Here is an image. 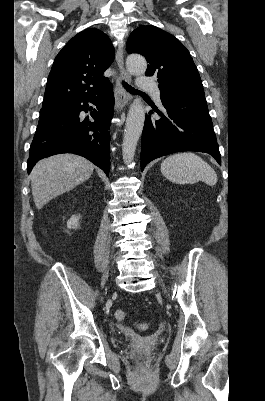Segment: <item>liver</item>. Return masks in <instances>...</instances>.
Masks as SVG:
<instances>
[{
    "mask_svg": "<svg viewBox=\"0 0 265 401\" xmlns=\"http://www.w3.org/2000/svg\"><path fill=\"white\" fill-rule=\"evenodd\" d=\"M93 170L94 164L77 154H55L39 160L30 174L36 209L40 211L51 198L88 180Z\"/></svg>",
    "mask_w": 265,
    "mask_h": 401,
    "instance_id": "1",
    "label": "liver"
}]
</instances>
